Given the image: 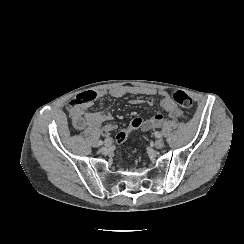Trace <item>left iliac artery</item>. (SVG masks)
<instances>
[{
	"mask_svg": "<svg viewBox=\"0 0 244 244\" xmlns=\"http://www.w3.org/2000/svg\"><path fill=\"white\" fill-rule=\"evenodd\" d=\"M155 136L157 137V138H160L161 137V133L160 132H155Z\"/></svg>",
	"mask_w": 244,
	"mask_h": 244,
	"instance_id": "1",
	"label": "left iliac artery"
}]
</instances>
